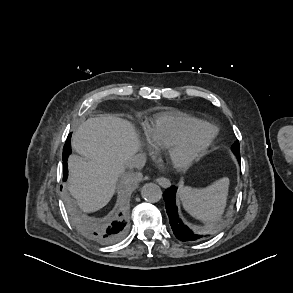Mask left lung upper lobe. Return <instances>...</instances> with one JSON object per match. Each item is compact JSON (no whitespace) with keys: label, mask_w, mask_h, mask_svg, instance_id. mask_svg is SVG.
Listing matches in <instances>:
<instances>
[{"label":"left lung upper lobe","mask_w":293,"mask_h":293,"mask_svg":"<svg viewBox=\"0 0 293 293\" xmlns=\"http://www.w3.org/2000/svg\"><path fill=\"white\" fill-rule=\"evenodd\" d=\"M232 151H233V153H234L237 157L240 156V147H239V142H238V141H236V142L233 144V146H232Z\"/></svg>","instance_id":"obj_1"}]
</instances>
